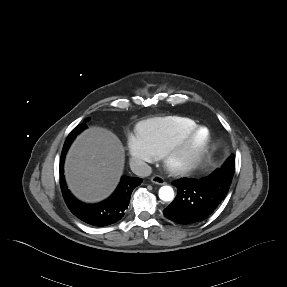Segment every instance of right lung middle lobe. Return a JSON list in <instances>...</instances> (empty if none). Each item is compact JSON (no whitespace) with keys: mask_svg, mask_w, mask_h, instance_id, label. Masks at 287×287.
I'll return each instance as SVG.
<instances>
[{"mask_svg":"<svg viewBox=\"0 0 287 287\" xmlns=\"http://www.w3.org/2000/svg\"><path fill=\"white\" fill-rule=\"evenodd\" d=\"M86 121H87V119L84 121V123H85ZM84 123H83V124H84ZM78 128H79V125H78L77 127H75V128L71 131V133H75Z\"/></svg>","mask_w":287,"mask_h":287,"instance_id":"right-lung-middle-lobe-1","label":"right lung middle lobe"}]
</instances>
